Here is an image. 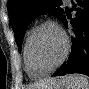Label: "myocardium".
Returning a JSON list of instances; mask_svg holds the SVG:
<instances>
[{"mask_svg": "<svg viewBox=\"0 0 89 89\" xmlns=\"http://www.w3.org/2000/svg\"><path fill=\"white\" fill-rule=\"evenodd\" d=\"M45 26H53L61 33V35L64 39V50H63V53H62L60 59L53 66H51L50 68H47V69H40L35 61V57L33 54V43H34L35 37H36L37 33L39 32V30ZM69 50H70V41H69V37H68L67 33L62 29V27H60L57 23H55L51 20H46V21L41 22L37 27H35V29L31 33V36L29 39V44H28L29 59H30L32 67L35 70H37L39 73H41L42 75L49 74L52 71H54L55 69H57L59 66H61L64 63V61L66 60Z\"/></svg>", "mask_w": 89, "mask_h": 89, "instance_id": "obj_1", "label": "myocardium"}]
</instances>
